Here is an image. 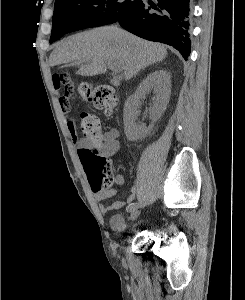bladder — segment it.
Instances as JSON below:
<instances>
[{
	"label": "bladder",
	"mask_w": 245,
	"mask_h": 300,
	"mask_svg": "<svg viewBox=\"0 0 245 300\" xmlns=\"http://www.w3.org/2000/svg\"><path fill=\"white\" fill-rule=\"evenodd\" d=\"M111 228L120 236L123 237L129 234L130 226L127 223L125 215L123 213H115L111 216L110 219Z\"/></svg>",
	"instance_id": "31cf9c89"
}]
</instances>
